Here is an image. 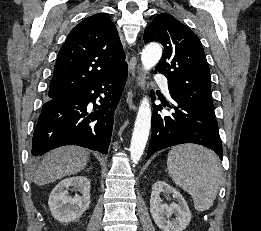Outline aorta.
<instances>
[{
  "label": "aorta",
  "instance_id": "obj_1",
  "mask_svg": "<svg viewBox=\"0 0 261 231\" xmlns=\"http://www.w3.org/2000/svg\"><path fill=\"white\" fill-rule=\"evenodd\" d=\"M162 56V48L159 44H148L141 54V61L145 71L154 67ZM151 128V107L147 97L140 103L137 117L135 120L134 131L130 144V158L137 164L143 155L149 132Z\"/></svg>",
  "mask_w": 261,
  "mask_h": 231
}]
</instances>
